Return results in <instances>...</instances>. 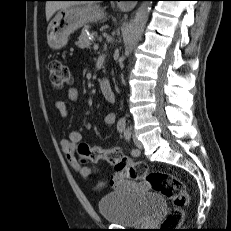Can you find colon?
Listing matches in <instances>:
<instances>
[{
  "instance_id": "5ec220e1",
  "label": "colon",
  "mask_w": 231,
  "mask_h": 231,
  "mask_svg": "<svg viewBox=\"0 0 231 231\" xmlns=\"http://www.w3.org/2000/svg\"><path fill=\"white\" fill-rule=\"evenodd\" d=\"M51 83L56 88H64L72 83L70 69L61 61L50 63ZM81 158L91 162L105 161L113 165L115 171L125 179H141L152 190L165 196L173 203V208L162 224V231H175L184 219V207L189 195L183 182L171 173L150 171L144 162H134L119 148L104 149L81 143L78 146Z\"/></svg>"
}]
</instances>
